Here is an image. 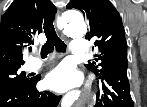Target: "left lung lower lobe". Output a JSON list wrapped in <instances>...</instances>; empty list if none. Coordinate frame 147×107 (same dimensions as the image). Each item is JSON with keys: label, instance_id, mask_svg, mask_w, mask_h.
Instances as JSON below:
<instances>
[{"label": "left lung lower lobe", "instance_id": "left-lung-lower-lobe-1", "mask_svg": "<svg viewBox=\"0 0 147 107\" xmlns=\"http://www.w3.org/2000/svg\"><path fill=\"white\" fill-rule=\"evenodd\" d=\"M101 93H97L94 107H134L126 67L111 69L101 76Z\"/></svg>", "mask_w": 147, "mask_h": 107}]
</instances>
